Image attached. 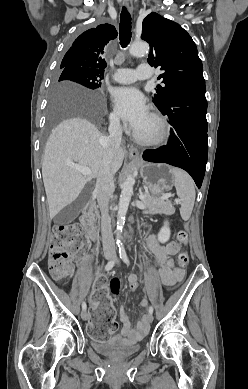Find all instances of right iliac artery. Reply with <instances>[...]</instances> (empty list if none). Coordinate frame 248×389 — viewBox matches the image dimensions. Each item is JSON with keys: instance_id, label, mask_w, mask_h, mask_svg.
<instances>
[{"instance_id": "82829eb1", "label": "right iliac artery", "mask_w": 248, "mask_h": 389, "mask_svg": "<svg viewBox=\"0 0 248 389\" xmlns=\"http://www.w3.org/2000/svg\"><path fill=\"white\" fill-rule=\"evenodd\" d=\"M114 264H115V259L109 261V262L106 264V266H105V270L108 271V270L112 269L113 266H114ZM82 309H83V310H86V309H87V305H86L85 302L82 303Z\"/></svg>"}]
</instances>
